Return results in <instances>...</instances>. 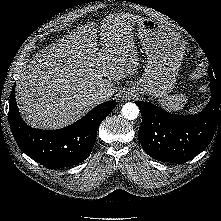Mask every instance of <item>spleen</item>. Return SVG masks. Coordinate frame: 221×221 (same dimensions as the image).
<instances>
[{
    "instance_id": "3e777b00",
    "label": "spleen",
    "mask_w": 221,
    "mask_h": 221,
    "mask_svg": "<svg viewBox=\"0 0 221 221\" xmlns=\"http://www.w3.org/2000/svg\"><path fill=\"white\" fill-rule=\"evenodd\" d=\"M186 103L187 98L183 94L171 95L169 97L159 100L160 106L170 112L181 111Z\"/></svg>"
}]
</instances>
